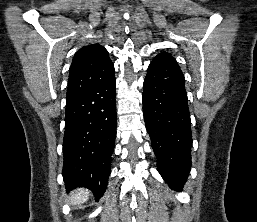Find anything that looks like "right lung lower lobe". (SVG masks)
Returning <instances> with one entry per match:
<instances>
[{
	"instance_id": "right-lung-lower-lobe-1",
	"label": "right lung lower lobe",
	"mask_w": 257,
	"mask_h": 222,
	"mask_svg": "<svg viewBox=\"0 0 257 222\" xmlns=\"http://www.w3.org/2000/svg\"><path fill=\"white\" fill-rule=\"evenodd\" d=\"M115 98L114 71L67 98L62 171L67 190L86 187L98 199L105 192L116 137Z\"/></svg>"
}]
</instances>
